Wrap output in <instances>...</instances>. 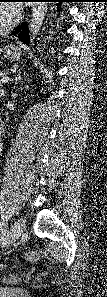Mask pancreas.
I'll list each match as a JSON object with an SVG mask.
<instances>
[{
    "instance_id": "obj_1",
    "label": "pancreas",
    "mask_w": 107,
    "mask_h": 297,
    "mask_svg": "<svg viewBox=\"0 0 107 297\" xmlns=\"http://www.w3.org/2000/svg\"><path fill=\"white\" fill-rule=\"evenodd\" d=\"M1 78H3V77H5V74L4 73H1V76H0ZM2 82H0V85L2 86Z\"/></svg>"
}]
</instances>
